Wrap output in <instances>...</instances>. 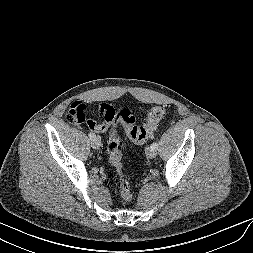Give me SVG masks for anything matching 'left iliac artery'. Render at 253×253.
<instances>
[{
	"mask_svg": "<svg viewBox=\"0 0 253 253\" xmlns=\"http://www.w3.org/2000/svg\"><path fill=\"white\" fill-rule=\"evenodd\" d=\"M151 147L157 150L158 149V143L157 142H153L151 144Z\"/></svg>",
	"mask_w": 253,
	"mask_h": 253,
	"instance_id": "44dca946",
	"label": "left iliac artery"
}]
</instances>
